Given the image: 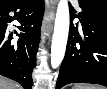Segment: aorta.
<instances>
[{
	"label": "aorta",
	"mask_w": 107,
	"mask_h": 89,
	"mask_svg": "<svg viewBox=\"0 0 107 89\" xmlns=\"http://www.w3.org/2000/svg\"><path fill=\"white\" fill-rule=\"evenodd\" d=\"M69 6L67 0H60L57 7L54 33L51 45V66L57 68L61 64L66 50L69 33Z\"/></svg>",
	"instance_id": "aorta-1"
}]
</instances>
